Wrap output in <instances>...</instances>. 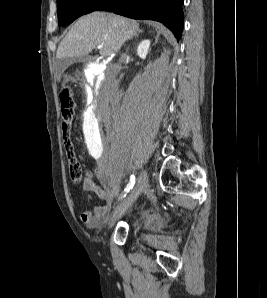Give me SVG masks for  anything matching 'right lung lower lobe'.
<instances>
[{
    "mask_svg": "<svg viewBox=\"0 0 267 298\" xmlns=\"http://www.w3.org/2000/svg\"><path fill=\"white\" fill-rule=\"evenodd\" d=\"M183 2L184 0H104L95 11H113L133 19L159 21L179 40L184 19Z\"/></svg>",
    "mask_w": 267,
    "mask_h": 298,
    "instance_id": "1",
    "label": "right lung lower lobe"
}]
</instances>
